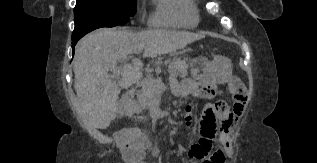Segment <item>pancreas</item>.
Instances as JSON below:
<instances>
[{
    "label": "pancreas",
    "mask_w": 317,
    "mask_h": 163,
    "mask_svg": "<svg viewBox=\"0 0 317 163\" xmlns=\"http://www.w3.org/2000/svg\"><path fill=\"white\" fill-rule=\"evenodd\" d=\"M189 65L186 59L174 58L170 62L168 71L174 76H187ZM153 78H147L143 81L149 82ZM157 91L150 87L147 83L142 84L141 90L137 91V99L132 102L130 107L127 109L126 114L133 117L136 121L143 120L145 117L140 116L144 110H148L156 98ZM136 114V116H135Z\"/></svg>",
    "instance_id": "obj_1"
}]
</instances>
